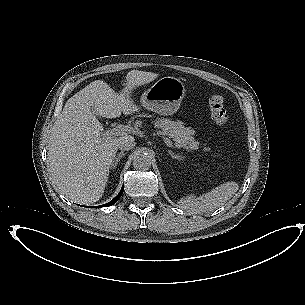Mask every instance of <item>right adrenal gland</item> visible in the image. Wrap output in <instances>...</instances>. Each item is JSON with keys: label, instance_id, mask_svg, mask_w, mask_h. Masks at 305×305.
<instances>
[{"label": "right adrenal gland", "instance_id": "obj_1", "mask_svg": "<svg viewBox=\"0 0 305 305\" xmlns=\"http://www.w3.org/2000/svg\"><path fill=\"white\" fill-rule=\"evenodd\" d=\"M124 156H125V153L123 151H121L116 156H114L112 164H111V168L115 169L117 167L118 163L120 162V160L122 159V157H124Z\"/></svg>", "mask_w": 305, "mask_h": 305}]
</instances>
